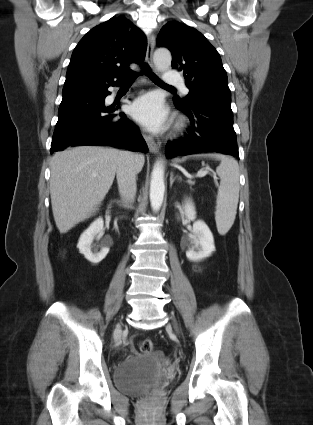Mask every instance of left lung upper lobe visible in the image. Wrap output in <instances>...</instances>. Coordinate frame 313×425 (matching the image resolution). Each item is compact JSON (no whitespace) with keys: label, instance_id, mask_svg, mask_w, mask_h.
Listing matches in <instances>:
<instances>
[{"label":"left lung upper lobe","instance_id":"left-lung-upper-lobe-1","mask_svg":"<svg viewBox=\"0 0 313 425\" xmlns=\"http://www.w3.org/2000/svg\"><path fill=\"white\" fill-rule=\"evenodd\" d=\"M157 45L172 53V67L182 70L190 90L184 98L174 100L189 105L201 100L231 103L227 74L219 53L202 33L177 21L162 27Z\"/></svg>","mask_w":313,"mask_h":425}]
</instances>
